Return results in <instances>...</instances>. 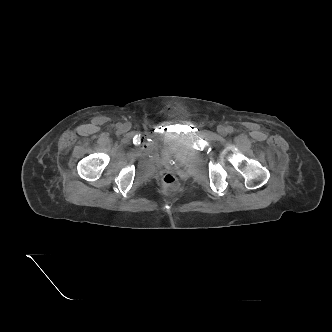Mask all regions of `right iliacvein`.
I'll use <instances>...</instances> for the list:
<instances>
[{
    "label": "right iliac vein",
    "instance_id": "obj_1",
    "mask_svg": "<svg viewBox=\"0 0 332 332\" xmlns=\"http://www.w3.org/2000/svg\"><path fill=\"white\" fill-rule=\"evenodd\" d=\"M131 129V124L130 123H125L123 126H122V130L123 131H128Z\"/></svg>",
    "mask_w": 332,
    "mask_h": 332
}]
</instances>
